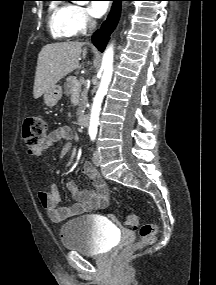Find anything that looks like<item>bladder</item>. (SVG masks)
<instances>
[{"mask_svg": "<svg viewBox=\"0 0 216 285\" xmlns=\"http://www.w3.org/2000/svg\"><path fill=\"white\" fill-rule=\"evenodd\" d=\"M60 239L67 250L85 255H102L113 245L114 230L96 216L84 215L61 226Z\"/></svg>", "mask_w": 216, "mask_h": 285, "instance_id": "1", "label": "bladder"}]
</instances>
